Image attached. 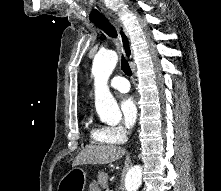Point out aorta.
Listing matches in <instances>:
<instances>
[{"label":"aorta","mask_w":221,"mask_h":191,"mask_svg":"<svg viewBox=\"0 0 221 191\" xmlns=\"http://www.w3.org/2000/svg\"><path fill=\"white\" fill-rule=\"evenodd\" d=\"M118 61L113 50L99 52L95 55L92 65L95 86V107L103 122L116 124L121 119V111L108 88V79ZM143 169L140 165L131 167L125 178V190L137 191L142 183Z\"/></svg>","instance_id":"aorta-1"}]
</instances>
